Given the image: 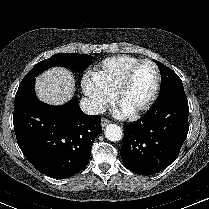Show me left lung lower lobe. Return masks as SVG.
<instances>
[{
  "mask_svg": "<svg viewBox=\"0 0 209 209\" xmlns=\"http://www.w3.org/2000/svg\"><path fill=\"white\" fill-rule=\"evenodd\" d=\"M184 88L165 91L139 120L124 125L120 154L132 172L151 175L165 169L179 154L189 130Z\"/></svg>",
  "mask_w": 209,
  "mask_h": 209,
  "instance_id": "left-lung-lower-lobe-1",
  "label": "left lung lower lobe"
}]
</instances>
